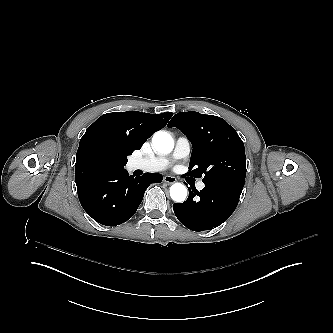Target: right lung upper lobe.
Listing matches in <instances>:
<instances>
[{
	"label": "right lung upper lobe",
	"instance_id": "1",
	"mask_svg": "<svg viewBox=\"0 0 333 333\" xmlns=\"http://www.w3.org/2000/svg\"><path fill=\"white\" fill-rule=\"evenodd\" d=\"M173 113L149 114L138 111L113 112L99 117L80 140L76 164L83 162L86 150L100 143L121 157L139 150L156 131L162 129Z\"/></svg>",
	"mask_w": 333,
	"mask_h": 333
}]
</instances>
